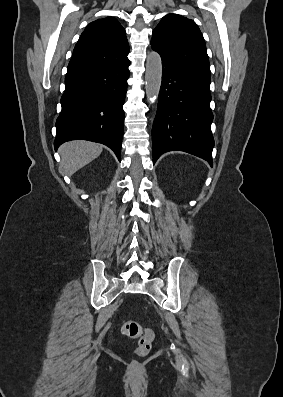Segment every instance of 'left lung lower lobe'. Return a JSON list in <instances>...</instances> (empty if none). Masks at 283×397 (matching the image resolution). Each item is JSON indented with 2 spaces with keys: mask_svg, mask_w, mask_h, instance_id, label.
Instances as JSON below:
<instances>
[{
  "mask_svg": "<svg viewBox=\"0 0 283 397\" xmlns=\"http://www.w3.org/2000/svg\"><path fill=\"white\" fill-rule=\"evenodd\" d=\"M160 56L163 69L152 129L153 164L163 153L179 150L203 158L213 166L210 82Z\"/></svg>",
  "mask_w": 283,
  "mask_h": 397,
  "instance_id": "0a47b994",
  "label": "left lung lower lobe"
}]
</instances>
